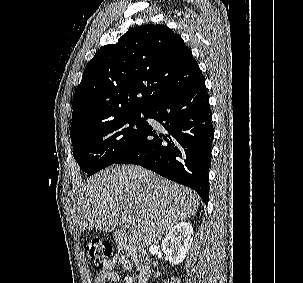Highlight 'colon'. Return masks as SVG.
Here are the masks:
<instances>
[{
	"label": "colon",
	"mask_w": 303,
	"mask_h": 283,
	"mask_svg": "<svg viewBox=\"0 0 303 283\" xmlns=\"http://www.w3.org/2000/svg\"><path fill=\"white\" fill-rule=\"evenodd\" d=\"M90 267L101 271L105 263L113 256V246L110 242L101 239H90L84 245Z\"/></svg>",
	"instance_id": "5ec220e1"
}]
</instances>
